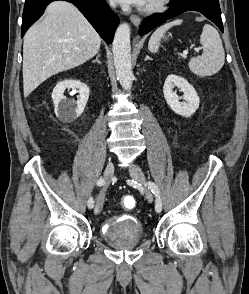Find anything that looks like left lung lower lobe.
Masks as SVG:
<instances>
[{
	"label": "left lung lower lobe",
	"mask_w": 249,
	"mask_h": 294,
	"mask_svg": "<svg viewBox=\"0 0 249 294\" xmlns=\"http://www.w3.org/2000/svg\"><path fill=\"white\" fill-rule=\"evenodd\" d=\"M189 10L201 12L223 32L218 0H172L171 7L167 11L159 15L147 17L143 20L139 28V34H146L166 20Z\"/></svg>",
	"instance_id": "0a47b994"
}]
</instances>
